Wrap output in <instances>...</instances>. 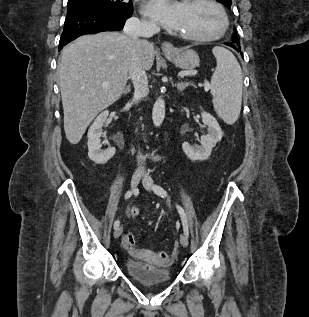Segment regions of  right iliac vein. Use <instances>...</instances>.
<instances>
[{"instance_id": "63e3f726", "label": "right iliac vein", "mask_w": 309, "mask_h": 317, "mask_svg": "<svg viewBox=\"0 0 309 317\" xmlns=\"http://www.w3.org/2000/svg\"><path fill=\"white\" fill-rule=\"evenodd\" d=\"M143 174L139 171H136L133 176H132V179H131V188L132 190H135L142 178ZM122 231H123V227L120 226L118 227L115 231H114V238L117 239L120 237V235L122 234Z\"/></svg>"}]
</instances>
